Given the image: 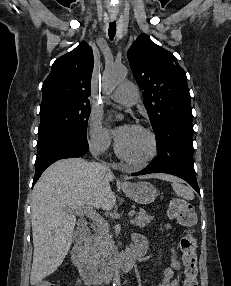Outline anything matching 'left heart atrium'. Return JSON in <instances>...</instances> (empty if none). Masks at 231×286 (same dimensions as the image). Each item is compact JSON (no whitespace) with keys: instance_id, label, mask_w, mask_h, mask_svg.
<instances>
[{"instance_id":"obj_1","label":"left heart atrium","mask_w":231,"mask_h":286,"mask_svg":"<svg viewBox=\"0 0 231 286\" xmlns=\"http://www.w3.org/2000/svg\"><path fill=\"white\" fill-rule=\"evenodd\" d=\"M132 126L128 123L119 126L114 134L118 142L122 141L130 132Z\"/></svg>"}]
</instances>
